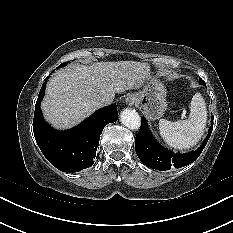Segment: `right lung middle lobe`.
I'll return each instance as SVG.
<instances>
[{
  "mask_svg": "<svg viewBox=\"0 0 233 233\" xmlns=\"http://www.w3.org/2000/svg\"><path fill=\"white\" fill-rule=\"evenodd\" d=\"M65 65H67V62L60 64L59 68L65 66Z\"/></svg>",
  "mask_w": 233,
  "mask_h": 233,
  "instance_id": "right-lung-middle-lobe-1",
  "label": "right lung middle lobe"
}]
</instances>
